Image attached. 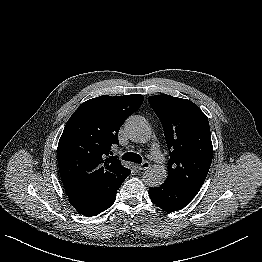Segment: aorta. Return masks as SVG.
I'll list each match as a JSON object with an SVG mask.
<instances>
[{
    "label": "aorta",
    "instance_id": "1",
    "mask_svg": "<svg viewBox=\"0 0 262 262\" xmlns=\"http://www.w3.org/2000/svg\"><path fill=\"white\" fill-rule=\"evenodd\" d=\"M125 131L134 142L146 143L150 140L152 131L150 125L141 116H131L124 124ZM167 178L164 166L154 165L148 168L143 175V182L149 187H159Z\"/></svg>",
    "mask_w": 262,
    "mask_h": 262
}]
</instances>
